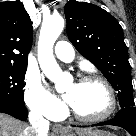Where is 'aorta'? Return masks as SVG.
<instances>
[{
    "mask_svg": "<svg viewBox=\"0 0 136 136\" xmlns=\"http://www.w3.org/2000/svg\"><path fill=\"white\" fill-rule=\"evenodd\" d=\"M64 28V19L60 16H51L42 22L39 42L38 61L45 76L55 83L57 91L63 92L70 76L62 72L53 55V46Z\"/></svg>",
    "mask_w": 136,
    "mask_h": 136,
    "instance_id": "obj_1",
    "label": "aorta"
}]
</instances>
